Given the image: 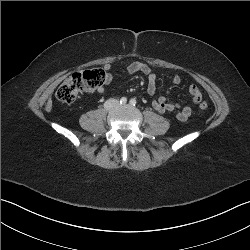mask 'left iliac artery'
Here are the masks:
<instances>
[{"label":"left iliac artery","instance_id":"1","mask_svg":"<svg viewBox=\"0 0 250 250\" xmlns=\"http://www.w3.org/2000/svg\"><path fill=\"white\" fill-rule=\"evenodd\" d=\"M130 104L133 105V106H135L136 105V100L135 99H131L130 100Z\"/></svg>","mask_w":250,"mask_h":250}]
</instances>
